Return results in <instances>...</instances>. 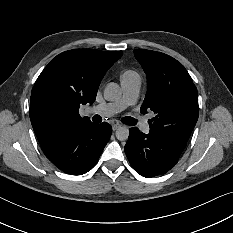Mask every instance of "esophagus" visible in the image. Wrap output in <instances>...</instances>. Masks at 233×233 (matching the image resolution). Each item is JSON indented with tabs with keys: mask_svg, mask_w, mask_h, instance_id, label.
Instances as JSON below:
<instances>
[{
	"mask_svg": "<svg viewBox=\"0 0 233 233\" xmlns=\"http://www.w3.org/2000/svg\"><path fill=\"white\" fill-rule=\"evenodd\" d=\"M120 127H121V124H119V123H115V124L112 125L113 131H116V130L119 129Z\"/></svg>",
	"mask_w": 233,
	"mask_h": 233,
	"instance_id": "1",
	"label": "esophagus"
}]
</instances>
